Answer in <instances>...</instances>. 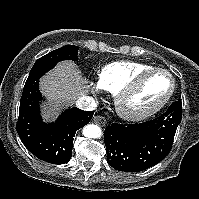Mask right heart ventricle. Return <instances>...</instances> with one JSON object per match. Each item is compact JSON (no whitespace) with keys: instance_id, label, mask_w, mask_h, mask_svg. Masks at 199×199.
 I'll return each instance as SVG.
<instances>
[{"instance_id":"right-heart-ventricle-1","label":"right heart ventricle","mask_w":199,"mask_h":199,"mask_svg":"<svg viewBox=\"0 0 199 199\" xmlns=\"http://www.w3.org/2000/svg\"><path fill=\"white\" fill-rule=\"evenodd\" d=\"M152 66L136 61H117L105 65L98 73L99 86L115 95L136 73Z\"/></svg>"}]
</instances>
